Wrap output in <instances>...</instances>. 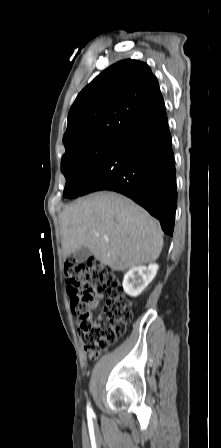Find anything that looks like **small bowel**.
Instances as JSON below:
<instances>
[{"mask_svg":"<svg viewBox=\"0 0 221 448\" xmlns=\"http://www.w3.org/2000/svg\"><path fill=\"white\" fill-rule=\"evenodd\" d=\"M97 306H98V301L95 300L94 303H93V305H92V310L96 309Z\"/></svg>","mask_w":221,"mask_h":448,"instance_id":"small-bowel-1","label":"small bowel"}]
</instances>
